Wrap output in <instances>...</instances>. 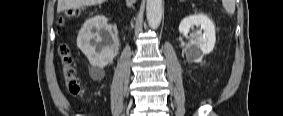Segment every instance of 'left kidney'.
I'll return each instance as SVG.
<instances>
[{"label": "left kidney", "mask_w": 283, "mask_h": 116, "mask_svg": "<svg viewBox=\"0 0 283 116\" xmlns=\"http://www.w3.org/2000/svg\"><path fill=\"white\" fill-rule=\"evenodd\" d=\"M201 26L203 35L195 36L186 47V58L193 62H201L204 55L213 51L216 42L215 26L207 15L198 14L185 17L180 25L179 32L188 37V32L193 26Z\"/></svg>", "instance_id": "obj_1"}]
</instances>
